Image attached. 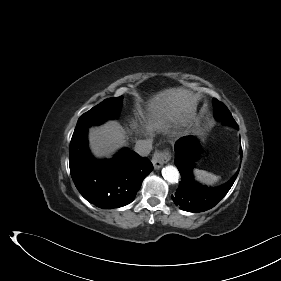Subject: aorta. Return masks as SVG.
<instances>
[{"label": "aorta", "instance_id": "aorta-1", "mask_svg": "<svg viewBox=\"0 0 281 281\" xmlns=\"http://www.w3.org/2000/svg\"><path fill=\"white\" fill-rule=\"evenodd\" d=\"M162 175L164 179L171 184L177 183L180 176L178 169L173 165L164 167L162 169Z\"/></svg>", "mask_w": 281, "mask_h": 281}]
</instances>
